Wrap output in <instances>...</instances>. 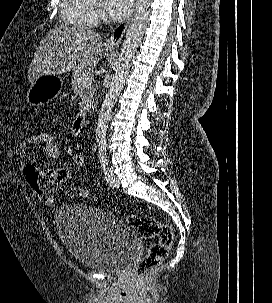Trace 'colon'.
<instances>
[{
  "instance_id": "obj_1",
  "label": "colon",
  "mask_w": 272,
  "mask_h": 303,
  "mask_svg": "<svg viewBox=\"0 0 272 303\" xmlns=\"http://www.w3.org/2000/svg\"><path fill=\"white\" fill-rule=\"evenodd\" d=\"M37 137L43 149L59 148L58 139L54 132L44 130L39 132ZM72 163L77 170H83L86 167V158L82 153H75L72 157ZM24 175L38 198L45 204H51L53 196L39 184L36 170L33 167H26ZM66 194L69 197L77 198H87L89 195L88 191L81 187L70 188L66 191ZM127 220L140 237L144 239H157L156 242L149 246L146 255L137 268L138 277L144 279L169 255L174 241V230L170 225L160 222L156 217L151 215L132 214L128 216Z\"/></svg>"
}]
</instances>
